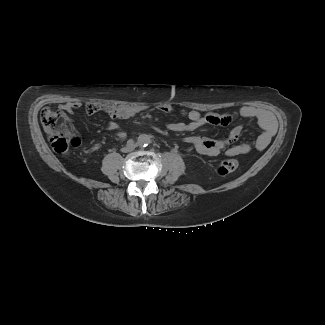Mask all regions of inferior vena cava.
<instances>
[{
  "label": "inferior vena cava",
  "mask_w": 325,
  "mask_h": 325,
  "mask_svg": "<svg viewBox=\"0 0 325 325\" xmlns=\"http://www.w3.org/2000/svg\"><path fill=\"white\" fill-rule=\"evenodd\" d=\"M134 148H135V146L132 145V146H128V147L123 148L122 151L123 152H130V151H133Z\"/></svg>",
  "instance_id": "1"
}]
</instances>
